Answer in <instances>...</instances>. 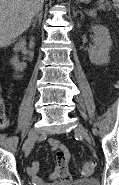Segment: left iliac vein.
<instances>
[{
	"mask_svg": "<svg viewBox=\"0 0 119 185\" xmlns=\"http://www.w3.org/2000/svg\"><path fill=\"white\" fill-rule=\"evenodd\" d=\"M75 132L79 135H81L82 137H84V139L88 142V143H92V139L90 137V135L88 134V132L86 131V129L83 127V125H81L80 123L77 124L76 128H75Z\"/></svg>",
	"mask_w": 119,
	"mask_h": 185,
	"instance_id": "obj_1",
	"label": "left iliac vein"
}]
</instances>
